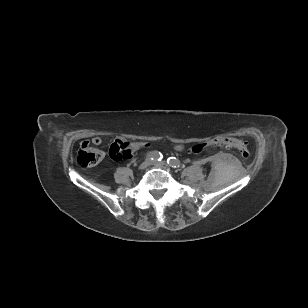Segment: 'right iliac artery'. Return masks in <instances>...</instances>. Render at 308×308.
Returning a JSON list of instances; mask_svg holds the SVG:
<instances>
[{
	"label": "right iliac artery",
	"instance_id": "1",
	"mask_svg": "<svg viewBox=\"0 0 308 308\" xmlns=\"http://www.w3.org/2000/svg\"><path fill=\"white\" fill-rule=\"evenodd\" d=\"M146 157L148 159H151V160H154V161H161L163 156L160 152L158 151H151V152H148Z\"/></svg>",
	"mask_w": 308,
	"mask_h": 308
}]
</instances>
